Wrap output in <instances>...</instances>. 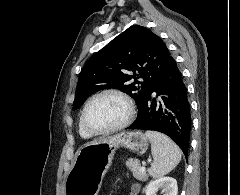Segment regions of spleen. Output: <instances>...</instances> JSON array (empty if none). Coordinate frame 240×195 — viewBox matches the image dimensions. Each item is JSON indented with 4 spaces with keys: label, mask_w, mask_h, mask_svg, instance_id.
Instances as JSON below:
<instances>
[{
    "label": "spleen",
    "mask_w": 240,
    "mask_h": 195,
    "mask_svg": "<svg viewBox=\"0 0 240 195\" xmlns=\"http://www.w3.org/2000/svg\"><path fill=\"white\" fill-rule=\"evenodd\" d=\"M146 137L150 139L151 151L154 157L151 167H149V175L151 177H162L174 169L181 159V149L161 131H145Z\"/></svg>",
    "instance_id": "3e777b00"
}]
</instances>
